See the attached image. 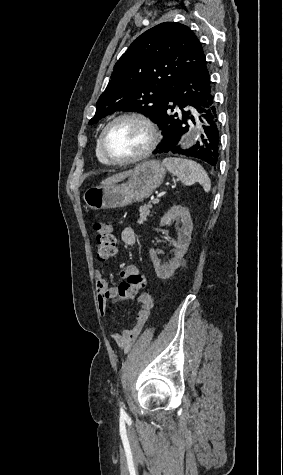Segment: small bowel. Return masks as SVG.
<instances>
[{"label":"small bowel","mask_w":283,"mask_h":475,"mask_svg":"<svg viewBox=\"0 0 283 475\" xmlns=\"http://www.w3.org/2000/svg\"><path fill=\"white\" fill-rule=\"evenodd\" d=\"M121 241L125 246H133L136 243V233L132 226L127 225L122 229ZM133 267L136 266L129 265L124 267L120 272L121 278L126 279L127 274H132ZM95 293L99 311L104 316L107 310V307L103 305L104 295L105 293H117V289L116 286H110L107 283L102 277L100 270L96 271ZM138 301L140 307L135 315L133 327L122 330L114 328L109 332L110 336L124 353H128L132 349L153 308V298L148 292L141 293L138 296Z\"/></svg>","instance_id":"1"}]
</instances>
